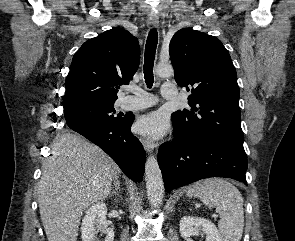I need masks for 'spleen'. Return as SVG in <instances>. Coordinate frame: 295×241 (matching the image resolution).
Segmentation results:
<instances>
[{"mask_svg": "<svg viewBox=\"0 0 295 241\" xmlns=\"http://www.w3.org/2000/svg\"><path fill=\"white\" fill-rule=\"evenodd\" d=\"M188 197H198L209 208H215L222 241H240L244 227L243 198L239 190L222 178H209L192 184Z\"/></svg>", "mask_w": 295, "mask_h": 241, "instance_id": "obj_1", "label": "spleen"}]
</instances>
